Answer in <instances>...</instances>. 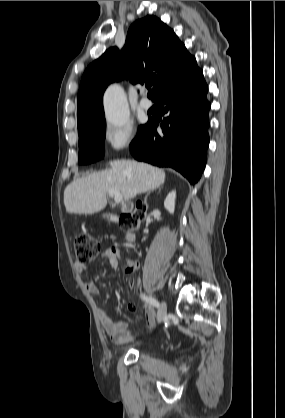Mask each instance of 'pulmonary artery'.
I'll return each instance as SVG.
<instances>
[{
	"label": "pulmonary artery",
	"instance_id": "pulmonary-artery-1",
	"mask_svg": "<svg viewBox=\"0 0 285 418\" xmlns=\"http://www.w3.org/2000/svg\"><path fill=\"white\" fill-rule=\"evenodd\" d=\"M140 107L143 110H149L152 107L151 100L147 97H142L141 100H140Z\"/></svg>",
	"mask_w": 285,
	"mask_h": 418
}]
</instances>
